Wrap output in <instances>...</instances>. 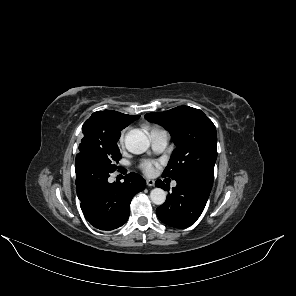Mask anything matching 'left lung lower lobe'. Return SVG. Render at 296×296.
Instances as JSON below:
<instances>
[{
    "label": "left lung lower lobe",
    "mask_w": 296,
    "mask_h": 296,
    "mask_svg": "<svg viewBox=\"0 0 296 296\" xmlns=\"http://www.w3.org/2000/svg\"><path fill=\"white\" fill-rule=\"evenodd\" d=\"M214 177L193 175L180 178L164 204L157 208L159 219L175 228L192 225L203 212L212 189ZM157 187L168 190L166 184L157 180Z\"/></svg>",
    "instance_id": "left-lung-lower-lobe-1"
}]
</instances>
